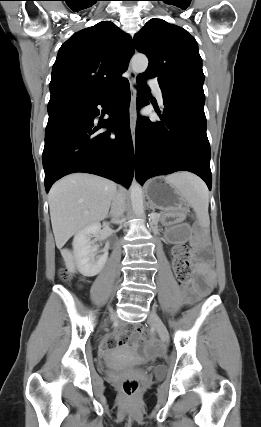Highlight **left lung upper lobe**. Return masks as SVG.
Here are the masks:
<instances>
[{
  "mask_svg": "<svg viewBox=\"0 0 261 427\" xmlns=\"http://www.w3.org/2000/svg\"><path fill=\"white\" fill-rule=\"evenodd\" d=\"M134 44L149 59L148 68L139 78H157L162 91L186 90L204 96L198 44L185 29L151 19L135 35Z\"/></svg>",
  "mask_w": 261,
  "mask_h": 427,
  "instance_id": "1",
  "label": "left lung upper lobe"
}]
</instances>
